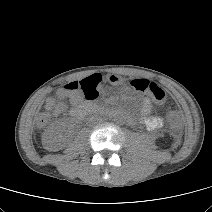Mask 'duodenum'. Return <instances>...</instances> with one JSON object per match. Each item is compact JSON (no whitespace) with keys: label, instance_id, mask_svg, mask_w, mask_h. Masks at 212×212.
Here are the masks:
<instances>
[{"label":"duodenum","instance_id":"duodenum-1","mask_svg":"<svg viewBox=\"0 0 212 212\" xmlns=\"http://www.w3.org/2000/svg\"><path fill=\"white\" fill-rule=\"evenodd\" d=\"M96 105L92 102L76 104L72 114L75 119L83 118L89 111L93 110Z\"/></svg>","mask_w":212,"mask_h":212}]
</instances>
